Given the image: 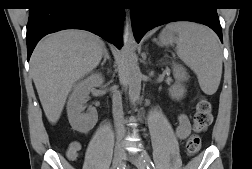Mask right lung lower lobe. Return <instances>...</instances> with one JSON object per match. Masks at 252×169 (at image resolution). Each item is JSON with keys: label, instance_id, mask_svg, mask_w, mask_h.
I'll use <instances>...</instances> for the list:
<instances>
[{"label": "right lung lower lobe", "instance_id": "right-lung-lower-lobe-1", "mask_svg": "<svg viewBox=\"0 0 252 169\" xmlns=\"http://www.w3.org/2000/svg\"><path fill=\"white\" fill-rule=\"evenodd\" d=\"M124 9L119 0H36L27 24L28 61L37 42L62 29H83L122 47Z\"/></svg>", "mask_w": 252, "mask_h": 169}]
</instances>
